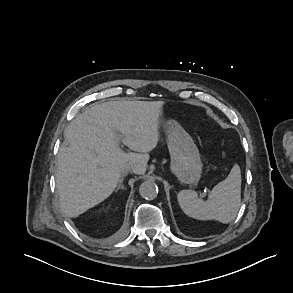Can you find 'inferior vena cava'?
I'll return each instance as SVG.
<instances>
[{
  "instance_id": "obj_1",
  "label": "inferior vena cava",
  "mask_w": 293,
  "mask_h": 293,
  "mask_svg": "<svg viewBox=\"0 0 293 293\" xmlns=\"http://www.w3.org/2000/svg\"><path fill=\"white\" fill-rule=\"evenodd\" d=\"M134 168L132 166H126L125 168L122 169V174H126L128 172H133Z\"/></svg>"
}]
</instances>
